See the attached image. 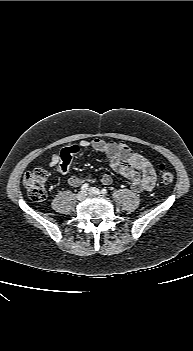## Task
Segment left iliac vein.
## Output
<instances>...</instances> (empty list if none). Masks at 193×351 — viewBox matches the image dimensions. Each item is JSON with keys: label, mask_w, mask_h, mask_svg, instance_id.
Listing matches in <instances>:
<instances>
[{"label": "left iliac vein", "mask_w": 193, "mask_h": 351, "mask_svg": "<svg viewBox=\"0 0 193 351\" xmlns=\"http://www.w3.org/2000/svg\"><path fill=\"white\" fill-rule=\"evenodd\" d=\"M88 193L90 195H99V194H101L100 190L98 188H96V187L89 188Z\"/></svg>", "instance_id": "obj_1"}]
</instances>
